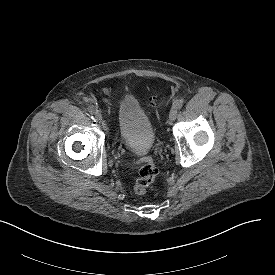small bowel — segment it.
<instances>
[{"instance_id":"1","label":"small bowel","mask_w":275,"mask_h":275,"mask_svg":"<svg viewBox=\"0 0 275 275\" xmlns=\"http://www.w3.org/2000/svg\"><path fill=\"white\" fill-rule=\"evenodd\" d=\"M102 94H103V96H104V98H105V101H106L107 103L111 104V102H110V100H109V93H108V91H107V90H103V91H102Z\"/></svg>"}]
</instances>
